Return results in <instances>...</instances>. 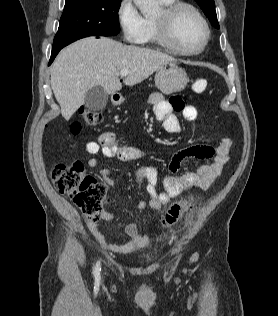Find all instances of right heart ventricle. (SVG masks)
<instances>
[{
  "label": "right heart ventricle",
  "instance_id": "e07e8e85",
  "mask_svg": "<svg viewBox=\"0 0 278 316\" xmlns=\"http://www.w3.org/2000/svg\"><path fill=\"white\" fill-rule=\"evenodd\" d=\"M165 6L172 4L175 0H160ZM143 45L158 46L170 52H176L159 35L155 18H145V28L143 36L139 42Z\"/></svg>",
  "mask_w": 278,
  "mask_h": 316
}]
</instances>
